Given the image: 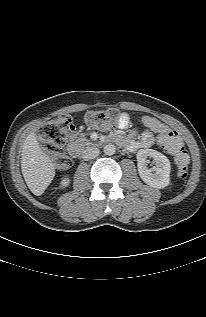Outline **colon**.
<instances>
[{
	"label": "colon",
	"mask_w": 206,
	"mask_h": 317,
	"mask_svg": "<svg viewBox=\"0 0 206 317\" xmlns=\"http://www.w3.org/2000/svg\"><path fill=\"white\" fill-rule=\"evenodd\" d=\"M121 115L116 108L95 110L86 114L85 122L92 128L108 130L118 125ZM72 131L73 122L71 117L63 115L42 127L38 133L41 145L52 154L55 165L60 171H65L72 165V160L64 149ZM160 144L165 151L173 155L178 175L185 177L189 155L179 135L175 131L170 132L163 137Z\"/></svg>",
	"instance_id": "1"
}]
</instances>
